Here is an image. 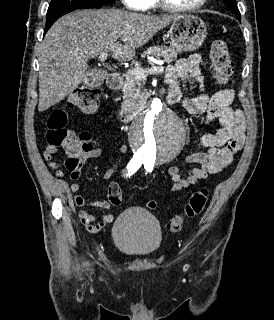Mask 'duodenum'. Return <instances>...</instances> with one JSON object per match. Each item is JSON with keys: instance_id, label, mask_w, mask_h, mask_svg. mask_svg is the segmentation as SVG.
<instances>
[{"instance_id": "410a0bca", "label": "duodenum", "mask_w": 274, "mask_h": 320, "mask_svg": "<svg viewBox=\"0 0 274 320\" xmlns=\"http://www.w3.org/2000/svg\"><path fill=\"white\" fill-rule=\"evenodd\" d=\"M121 82H122V76L117 72L111 73L107 77V84L109 88L113 91L119 89ZM179 100H180V94L177 91L169 92V94L166 97V101L170 104H176L179 102ZM143 108H144V105L141 104L135 108H127L122 110L120 113L122 122L124 123L131 122L133 119L137 117V115L142 111Z\"/></svg>"}]
</instances>
